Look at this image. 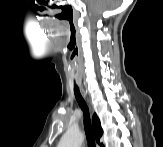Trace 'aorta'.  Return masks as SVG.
I'll list each match as a JSON object with an SVG mask.
<instances>
[{
    "label": "aorta",
    "instance_id": "obj_1",
    "mask_svg": "<svg viewBox=\"0 0 163 147\" xmlns=\"http://www.w3.org/2000/svg\"><path fill=\"white\" fill-rule=\"evenodd\" d=\"M84 140L83 134L77 128H69L62 136L59 147H81Z\"/></svg>",
    "mask_w": 163,
    "mask_h": 147
}]
</instances>
